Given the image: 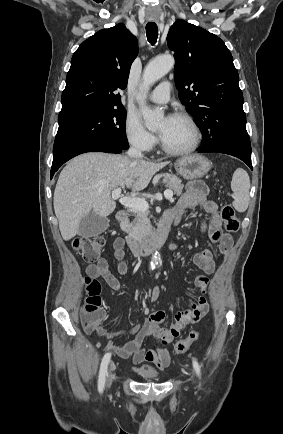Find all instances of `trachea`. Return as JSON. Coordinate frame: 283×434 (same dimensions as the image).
Masks as SVG:
<instances>
[{
    "instance_id": "obj_1",
    "label": "trachea",
    "mask_w": 283,
    "mask_h": 434,
    "mask_svg": "<svg viewBox=\"0 0 283 434\" xmlns=\"http://www.w3.org/2000/svg\"><path fill=\"white\" fill-rule=\"evenodd\" d=\"M146 35H147V40L149 41V43L154 45L157 41V38H158V27H157L156 23L149 22L146 25Z\"/></svg>"
}]
</instances>
